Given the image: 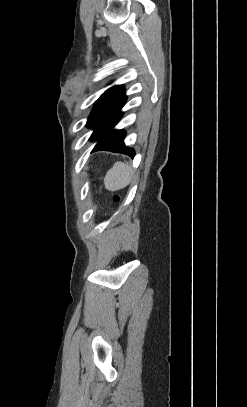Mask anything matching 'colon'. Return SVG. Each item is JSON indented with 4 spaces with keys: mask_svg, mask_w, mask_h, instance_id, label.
Wrapping results in <instances>:
<instances>
[{
    "mask_svg": "<svg viewBox=\"0 0 247 407\" xmlns=\"http://www.w3.org/2000/svg\"><path fill=\"white\" fill-rule=\"evenodd\" d=\"M114 201L119 202L121 200L119 195H114L113 196Z\"/></svg>",
    "mask_w": 247,
    "mask_h": 407,
    "instance_id": "5ec220e1",
    "label": "colon"
}]
</instances>
